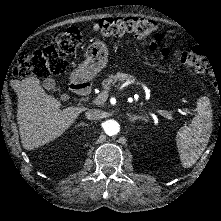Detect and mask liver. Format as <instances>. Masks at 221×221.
I'll return each mask as SVG.
<instances>
[{
  "label": "liver",
  "instance_id": "6515ba94",
  "mask_svg": "<svg viewBox=\"0 0 221 221\" xmlns=\"http://www.w3.org/2000/svg\"><path fill=\"white\" fill-rule=\"evenodd\" d=\"M17 125L25 149L31 150L58 137L85 107L68 106L46 94L36 78L15 81Z\"/></svg>",
  "mask_w": 221,
  "mask_h": 221
}]
</instances>
